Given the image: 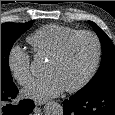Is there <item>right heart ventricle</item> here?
<instances>
[{
  "label": "right heart ventricle",
  "mask_w": 115,
  "mask_h": 115,
  "mask_svg": "<svg viewBox=\"0 0 115 115\" xmlns=\"http://www.w3.org/2000/svg\"><path fill=\"white\" fill-rule=\"evenodd\" d=\"M78 31L68 26L48 24L34 31L28 37V42L37 57L49 59L66 38Z\"/></svg>",
  "instance_id": "right-heart-ventricle-1"
}]
</instances>
